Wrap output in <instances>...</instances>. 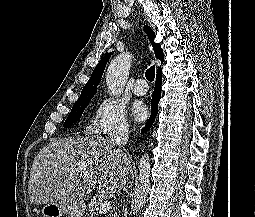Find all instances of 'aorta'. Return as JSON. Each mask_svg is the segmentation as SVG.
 Listing matches in <instances>:
<instances>
[{
    "label": "aorta",
    "mask_w": 255,
    "mask_h": 217,
    "mask_svg": "<svg viewBox=\"0 0 255 217\" xmlns=\"http://www.w3.org/2000/svg\"><path fill=\"white\" fill-rule=\"evenodd\" d=\"M132 56L123 53L116 56L108 66L106 72V84L110 94L120 95L126 85ZM150 188V161L149 156L144 155L139 161V199L136 201L138 209L146 203V197Z\"/></svg>",
    "instance_id": "1"
}]
</instances>
